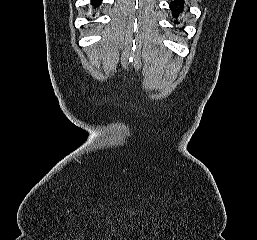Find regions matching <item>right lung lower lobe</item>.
<instances>
[{"label":"right lung lower lobe","instance_id":"98d812e1","mask_svg":"<svg viewBox=\"0 0 257 240\" xmlns=\"http://www.w3.org/2000/svg\"><path fill=\"white\" fill-rule=\"evenodd\" d=\"M102 0H91V4L94 6V7H97L101 4Z\"/></svg>","mask_w":257,"mask_h":240}]
</instances>
